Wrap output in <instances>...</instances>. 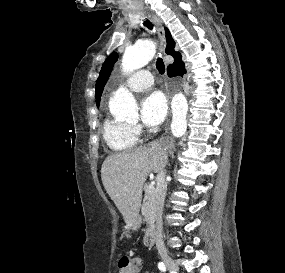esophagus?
Wrapping results in <instances>:
<instances>
[{
	"label": "esophagus",
	"instance_id": "34e87169",
	"mask_svg": "<svg viewBox=\"0 0 285 273\" xmlns=\"http://www.w3.org/2000/svg\"><path fill=\"white\" fill-rule=\"evenodd\" d=\"M148 16L156 27L157 34L160 40V48L162 51H164L166 48V38H165V30L163 27L162 20L153 14H148Z\"/></svg>",
	"mask_w": 285,
	"mask_h": 273
}]
</instances>
